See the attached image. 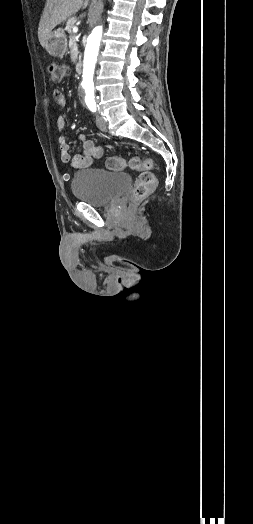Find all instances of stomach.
<instances>
[{
	"label": "stomach",
	"instance_id": "stomach-1",
	"mask_svg": "<svg viewBox=\"0 0 253 524\" xmlns=\"http://www.w3.org/2000/svg\"><path fill=\"white\" fill-rule=\"evenodd\" d=\"M67 49V38L62 28L51 31L46 51L53 57H63Z\"/></svg>",
	"mask_w": 253,
	"mask_h": 524
}]
</instances>
